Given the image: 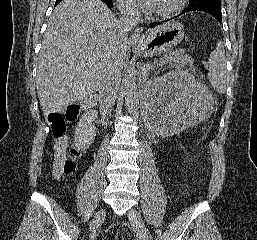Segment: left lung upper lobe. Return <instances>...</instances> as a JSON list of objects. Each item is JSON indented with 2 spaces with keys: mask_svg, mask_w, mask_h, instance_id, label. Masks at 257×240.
I'll use <instances>...</instances> for the list:
<instances>
[{
  "mask_svg": "<svg viewBox=\"0 0 257 240\" xmlns=\"http://www.w3.org/2000/svg\"><path fill=\"white\" fill-rule=\"evenodd\" d=\"M221 7L220 0H189L187 8Z\"/></svg>",
  "mask_w": 257,
  "mask_h": 240,
  "instance_id": "obj_1",
  "label": "left lung upper lobe"
}]
</instances>
